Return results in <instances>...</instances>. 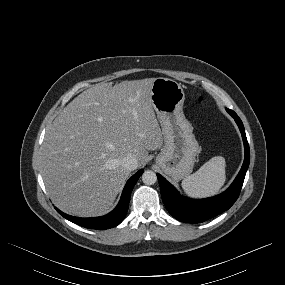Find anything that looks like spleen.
I'll list each match as a JSON object with an SVG mask.
<instances>
[{
    "label": "spleen",
    "instance_id": "obj_1",
    "mask_svg": "<svg viewBox=\"0 0 285 285\" xmlns=\"http://www.w3.org/2000/svg\"><path fill=\"white\" fill-rule=\"evenodd\" d=\"M225 181V159L222 156H215L194 174L184 178L181 185L188 196L206 198L216 195Z\"/></svg>",
    "mask_w": 285,
    "mask_h": 285
}]
</instances>
